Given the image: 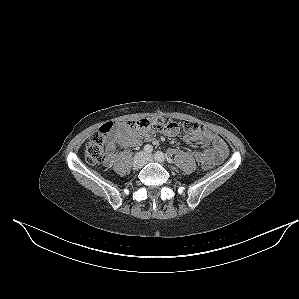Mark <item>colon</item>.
I'll return each mask as SVG.
<instances>
[{"label":"colon","instance_id":"1","mask_svg":"<svg viewBox=\"0 0 299 299\" xmlns=\"http://www.w3.org/2000/svg\"><path fill=\"white\" fill-rule=\"evenodd\" d=\"M131 128L148 129L153 128L165 133L177 132L178 123L165 116H151L137 121H127ZM116 123L108 122L102 125L90 138L84 151L85 159L89 164L96 165L103 163L106 158L105 145L110 133L115 129ZM186 133L194 135L202 130V126L196 121H186L183 124ZM204 170H209L214 166L212 161L206 160L201 163Z\"/></svg>","mask_w":299,"mask_h":299}]
</instances>
